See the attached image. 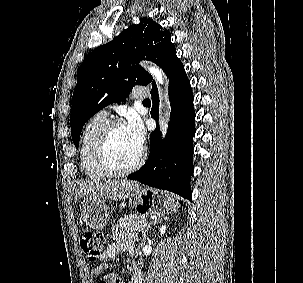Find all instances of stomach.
Returning <instances> with one entry per match:
<instances>
[{
	"label": "stomach",
	"mask_w": 303,
	"mask_h": 283,
	"mask_svg": "<svg viewBox=\"0 0 303 283\" xmlns=\"http://www.w3.org/2000/svg\"><path fill=\"white\" fill-rule=\"evenodd\" d=\"M135 208L146 215H165L179 208L177 198L152 188H138L133 192ZM83 222L92 229L104 228L110 218V210L102 199L84 198L79 202Z\"/></svg>",
	"instance_id": "0dacf381"
}]
</instances>
